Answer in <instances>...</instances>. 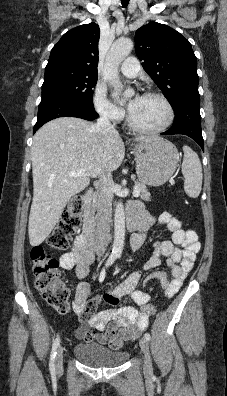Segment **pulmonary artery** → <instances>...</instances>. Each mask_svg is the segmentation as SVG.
<instances>
[{"label": "pulmonary artery", "mask_w": 227, "mask_h": 396, "mask_svg": "<svg viewBox=\"0 0 227 396\" xmlns=\"http://www.w3.org/2000/svg\"><path fill=\"white\" fill-rule=\"evenodd\" d=\"M140 70L139 61L135 57H128L120 67V71L126 77H135Z\"/></svg>", "instance_id": "1"}]
</instances>
